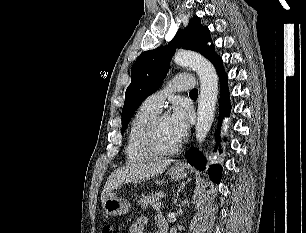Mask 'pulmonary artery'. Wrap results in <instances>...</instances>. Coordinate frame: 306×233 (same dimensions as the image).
I'll list each match as a JSON object with an SVG mask.
<instances>
[{"label": "pulmonary artery", "instance_id": "e3ab8cb5", "mask_svg": "<svg viewBox=\"0 0 306 233\" xmlns=\"http://www.w3.org/2000/svg\"><path fill=\"white\" fill-rule=\"evenodd\" d=\"M194 83V79L189 75H177L168 83L164 89L159 90L147 97L145 103L159 111L167 95L175 91L192 90L194 89Z\"/></svg>", "mask_w": 306, "mask_h": 233}]
</instances>
